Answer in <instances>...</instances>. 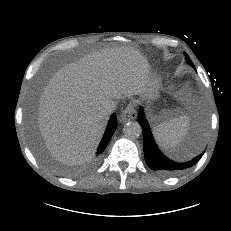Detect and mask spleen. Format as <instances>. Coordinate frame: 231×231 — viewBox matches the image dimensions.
Here are the masks:
<instances>
[{
  "instance_id": "1",
  "label": "spleen",
  "mask_w": 231,
  "mask_h": 231,
  "mask_svg": "<svg viewBox=\"0 0 231 231\" xmlns=\"http://www.w3.org/2000/svg\"><path fill=\"white\" fill-rule=\"evenodd\" d=\"M190 118L187 114L153 127L157 143L164 149L177 146L187 134Z\"/></svg>"
}]
</instances>
